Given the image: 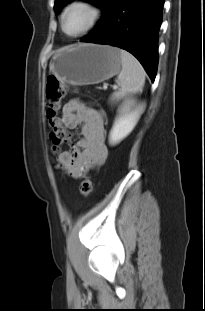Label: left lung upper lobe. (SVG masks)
Listing matches in <instances>:
<instances>
[{"label":"left lung upper lobe","instance_id":"obj_1","mask_svg":"<svg viewBox=\"0 0 205 311\" xmlns=\"http://www.w3.org/2000/svg\"><path fill=\"white\" fill-rule=\"evenodd\" d=\"M72 0H55L54 10L56 14L61 10V8ZM90 3L96 5L97 7L103 9V18L109 13L111 6L115 0H86ZM100 22V21H99ZM98 22V23H99Z\"/></svg>","mask_w":205,"mask_h":311}]
</instances>
